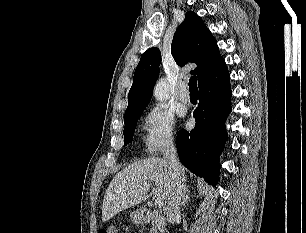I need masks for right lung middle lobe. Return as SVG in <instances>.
I'll return each mask as SVG.
<instances>
[{"mask_svg": "<svg viewBox=\"0 0 306 233\" xmlns=\"http://www.w3.org/2000/svg\"><path fill=\"white\" fill-rule=\"evenodd\" d=\"M143 111L144 109L124 117V145H127L128 143L132 142L137 121Z\"/></svg>", "mask_w": 306, "mask_h": 233, "instance_id": "obj_1", "label": "right lung middle lobe"}]
</instances>
